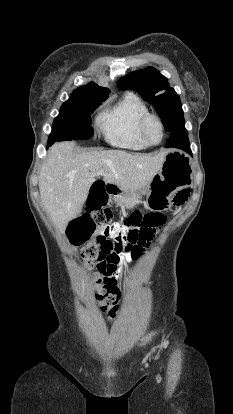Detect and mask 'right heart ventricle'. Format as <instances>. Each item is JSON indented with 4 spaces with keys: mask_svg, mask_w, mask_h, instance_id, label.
I'll return each mask as SVG.
<instances>
[{
    "mask_svg": "<svg viewBox=\"0 0 233 414\" xmlns=\"http://www.w3.org/2000/svg\"><path fill=\"white\" fill-rule=\"evenodd\" d=\"M148 113L146 104L136 95L128 93L102 114L99 127L111 145L142 150L150 146L140 132V122Z\"/></svg>",
    "mask_w": 233,
    "mask_h": 414,
    "instance_id": "obj_1",
    "label": "right heart ventricle"
}]
</instances>
